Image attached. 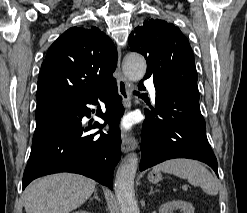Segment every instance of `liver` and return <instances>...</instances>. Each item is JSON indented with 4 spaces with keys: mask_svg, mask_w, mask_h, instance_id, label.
<instances>
[{
    "mask_svg": "<svg viewBox=\"0 0 247 213\" xmlns=\"http://www.w3.org/2000/svg\"><path fill=\"white\" fill-rule=\"evenodd\" d=\"M96 182L78 174L58 173L40 178L24 192L26 213H69L94 192Z\"/></svg>",
    "mask_w": 247,
    "mask_h": 213,
    "instance_id": "1",
    "label": "liver"
}]
</instances>
